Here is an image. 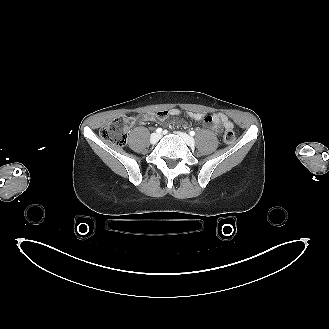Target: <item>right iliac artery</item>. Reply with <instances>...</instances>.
Returning <instances> with one entry per match:
<instances>
[{
    "label": "right iliac artery",
    "mask_w": 329,
    "mask_h": 329,
    "mask_svg": "<svg viewBox=\"0 0 329 329\" xmlns=\"http://www.w3.org/2000/svg\"><path fill=\"white\" fill-rule=\"evenodd\" d=\"M156 132L157 133H161L162 132V128H157Z\"/></svg>",
    "instance_id": "82829eb1"
}]
</instances>
